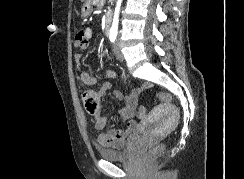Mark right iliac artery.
I'll return each mask as SVG.
<instances>
[{"label": "right iliac artery", "mask_w": 244, "mask_h": 179, "mask_svg": "<svg viewBox=\"0 0 244 179\" xmlns=\"http://www.w3.org/2000/svg\"><path fill=\"white\" fill-rule=\"evenodd\" d=\"M116 37H117V32H115V33H111L110 32L109 39H110L111 42H115Z\"/></svg>", "instance_id": "right-iliac-artery-1"}]
</instances>
